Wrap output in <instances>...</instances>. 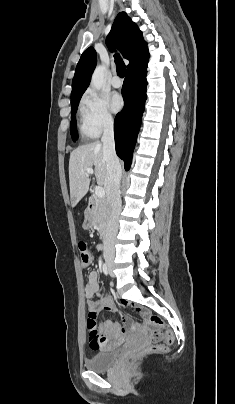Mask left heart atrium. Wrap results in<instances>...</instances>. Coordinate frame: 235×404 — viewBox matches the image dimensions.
Instances as JSON below:
<instances>
[{"instance_id":"39dd6f15","label":"left heart atrium","mask_w":235,"mask_h":404,"mask_svg":"<svg viewBox=\"0 0 235 404\" xmlns=\"http://www.w3.org/2000/svg\"><path fill=\"white\" fill-rule=\"evenodd\" d=\"M123 99L119 94H113L110 98V106L114 112H118L123 107Z\"/></svg>"}]
</instances>
